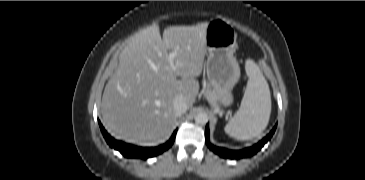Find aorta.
Wrapping results in <instances>:
<instances>
[{
	"mask_svg": "<svg viewBox=\"0 0 365 180\" xmlns=\"http://www.w3.org/2000/svg\"><path fill=\"white\" fill-rule=\"evenodd\" d=\"M194 119L197 124L205 125L208 122V115L206 113H198Z\"/></svg>",
	"mask_w": 365,
	"mask_h": 180,
	"instance_id": "aorta-1",
	"label": "aorta"
}]
</instances>
